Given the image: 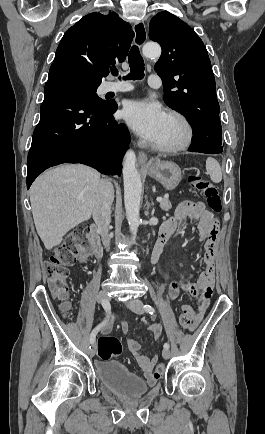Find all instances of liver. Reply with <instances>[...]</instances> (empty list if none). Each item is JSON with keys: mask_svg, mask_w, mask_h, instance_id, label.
<instances>
[{"mask_svg": "<svg viewBox=\"0 0 265 434\" xmlns=\"http://www.w3.org/2000/svg\"><path fill=\"white\" fill-rule=\"evenodd\" d=\"M99 184V172L81 164L53 168L33 182L29 190L33 220L47 250L59 246L69 230L90 220Z\"/></svg>", "mask_w": 265, "mask_h": 434, "instance_id": "6515ba94", "label": "liver"}]
</instances>
